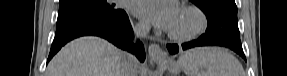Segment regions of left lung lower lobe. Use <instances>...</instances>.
<instances>
[{"mask_svg": "<svg viewBox=\"0 0 287 76\" xmlns=\"http://www.w3.org/2000/svg\"><path fill=\"white\" fill-rule=\"evenodd\" d=\"M209 45H219L230 48L246 60L240 41H233L227 38L214 36L213 34L207 32L194 41L182 44V46H178L177 44H168L167 49L171 54H176L181 47L183 50H186L196 46Z\"/></svg>", "mask_w": 287, "mask_h": 76, "instance_id": "left-lung-lower-lobe-1", "label": "left lung lower lobe"}]
</instances>
